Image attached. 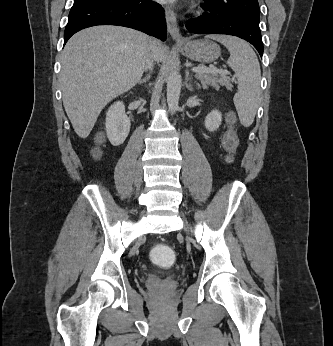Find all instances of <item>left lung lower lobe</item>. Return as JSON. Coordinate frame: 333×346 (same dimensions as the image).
I'll return each instance as SVG.
<instances>
[{
	"label": "left lung lower lobe",
	"instance_id": "0a47b994",
	"mask_svg": "<svg viewBox=\"0 0 333 346\" xmlns=\"http://www.w3.org/2000/svg\"><path fill=\"white\" fill-rule=\"evenodd\" d=\"M205 13L186 23L192 34H227L250 42L263 55V43L259 23L242 16L233 15L224 9L205 2Z\"/></svg>",
	"mask_w": 333,
	"mask_h": 346
}]
</instances>
